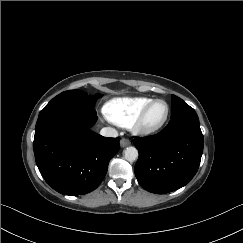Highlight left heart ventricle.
Listing matches in <instances>:
<instances>
[{
	"mask_svg": "<svg viewBox=\"0 0 243 243\" xmlns=\"http://www.w3.org/2000/svg\"><path fill=\"white\" fill-rule=\"evenodd\" d=\"M166 114V107L163 103L155 104L146 117V124L150 126L160 123Z\"/></svg>",
	"mask_w": 243,
	"mask_h": 243,
	"instance_id": "1",
	"label": "left heart ventricle"
}]
</instances>
